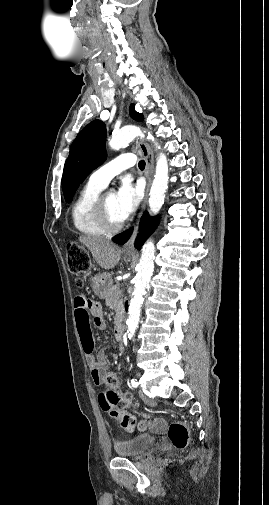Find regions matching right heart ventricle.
<instances>
[{
  "mask_svg": "<svg viewBox=\"0 0 269 505\" xmlns=\"http://www.w3.org/2000/svg\"><path fill=\"white\" fill-rule=\"evenodd\" d=\"M102 189V187L88 181L73 203L71 210L72 223L83 235L102 237L107 234L95 214V203Z\"/></svg>",
  "mask_w": 269,
  "mask_h": 505,
  "instance_id": "1",
  "label": "right heart ventricle"
}]
</instances>
